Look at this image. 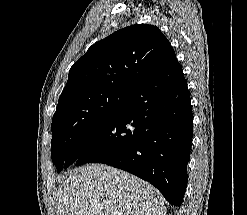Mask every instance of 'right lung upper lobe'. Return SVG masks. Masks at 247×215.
Returning <instances> with one entry per match:
<instances>
[{"label": "right lung upper lobe", "mask_w": 247, "mask_h": 215, "mask_svg": "<svg viewBox=\"0 0 247 215\" xmlns=\"http://www.w3.org/2000/svg\"><path fill=\"white\" fill-rule=\"evenodd\" d=\"M174 53L156 26L135 24L118 30L93 44L71 67L59 101L100 91L133 93Z\"/></svg>", "instance_id": "obj_1"}]
</instances>
